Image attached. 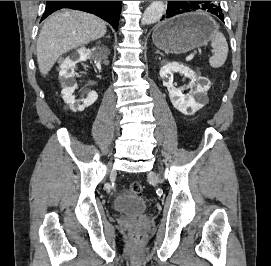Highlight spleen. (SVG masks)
Masks as SVG:
<instances>
[{
	"label": "spleen",
	"instance_id": "3e777b00",
	"mask_svg": "<svg viewBox=\"0 0 271 266\" xmlns=\"http://www.w3.org/2000/svg\"><path fill=\"white\" fill-rule=\"evenodd\" d=\"M211 46L213 48V55L209 58V63L212 68L221 67L228 55V44L224 35L215 30L211 37Z\"/></svg>",
	"mask_w": 271,
	"mask_h": 266
}]
</instances>
